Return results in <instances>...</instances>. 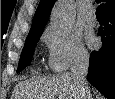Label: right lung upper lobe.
<instances>
[{"label": "right lung upper lobe", "mask_w": 115, "mask_h": 99, "mask_svg": "<svg viewBox=\"0 0 115 99\" xmlns=\"http://www.w3.org/2000/svg\"><path fill=\"white\" fill-rule=\"evenodd\" d=\"M56 0H40L36 13L34 15L29 35L42 34L44 26L49 18L51 9ZM104 13L115 8V0H103Z\"/></svg>", "instance_id": "right-lung-upper-lobe-1"}]
</instances>
